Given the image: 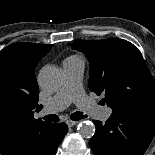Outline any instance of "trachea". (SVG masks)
Returning <instances> with one entry per match:
<instances>
[{
    "label": "trachea",
    "mask_w": 155,
    "mask_h": 155,
    "mask_svg": "<svg viewBox=\"0 0 155 155\" xmlns=\"http://www.w3.org/2000/svg\"><path fill=\"white\" fill-rule=\"evenodd\" d=\"M70 117L73 121H79L83 118H86L87 115H83L82 112H75V113L71 114ZM43 119L47 122H58L59 121V117L55 114L47 115V116L43 117Z\"/></svg>",
    "instance_id": "obj_1"
}]
</instances>
